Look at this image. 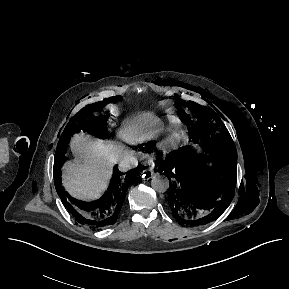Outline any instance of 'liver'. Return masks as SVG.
<instances>
[{
  "label": "liver",
  "instance_id": "obj_1",
  "mask_svg": "<svg viewBox=\"0 0 289 289\" xmlns=\"http://www.w3.org/2000/svg\"><path fill=\"white\" fill-rule=\"evenodd\" d=\"M154 121L151 113H144L127 122L118 136L128 142H136L144 137L141 129ZM73 150L82 162H68L64 166L63 186L74 198L92 200L101 195L110 178V166L118 151V146L92 139L88 135H77L72 140Z\"/></svg>",
  "mask_w": 289,
  "mask_h": 289
}]
</instances>
